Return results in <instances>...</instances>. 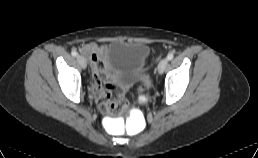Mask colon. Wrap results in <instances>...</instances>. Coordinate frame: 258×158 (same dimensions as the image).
Segmentation results:
<instances>
[{
	"instance_id": "1",
	"label": "colon",
	"mask_w": 258,
	"mask_h": 158,
	"mask_svg": "<svg viewBox=\"0 0 258 158\" xmlns=\"http://www.w3.org/2000/svg\"><path fill=\"white\" fill-rule=\"evenodd\" d=\"M140 102L146 101V96L142 95L139 98ZM126 107V102L122 100L118 95H116L113 99H110L106 103L103 104L102 109L106 113L113 112L115 109L121 108L124 109Z\"/></svg>"
}]
</instances>
